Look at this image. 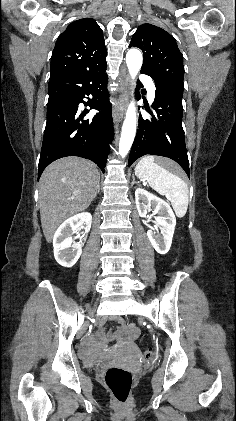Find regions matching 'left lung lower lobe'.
<instances>
[{"label":"left lung lower lobe","mask_w":236,"mask_h":421,"mask_svg":"<svg viewBox=\"0 0 236 421\" xmlns=\"http://www.w3.org/2000/svg\"><path fill=\"white\" fill-rule=\"evenodd\" d=\"M154 81L156 91L152 107L155 113L153 115L149 112L152 115L150 120L139 115V129L129 155L128 166L146 154L165 156L176 161L190 177L182 127L183 90L173 83Z\"/></svg>","instance_id":"1"}]
</instances>
